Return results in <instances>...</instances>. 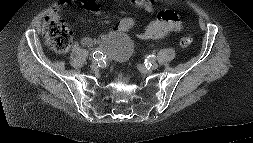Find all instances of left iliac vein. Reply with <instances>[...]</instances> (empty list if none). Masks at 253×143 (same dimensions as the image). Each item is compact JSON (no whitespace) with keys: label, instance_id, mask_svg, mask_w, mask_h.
<instances>
[{"label":"left iliac vein","instance_id":"4c4485c4","mask_svg":"<svg viewBox=\"0 0 253 143\" xmlns=\"http://www.w3.org/2000/svg\"><path fill=\"white\" fill-rule=\"evenodd\" d=\"M157 67H158L157 63H156V62H153L152 65H151V67H150V69H151V70H155ZM143 69H144V68H142V70H143Z\"/></svg>","mask_w":253,"mask_h":143}]
</instances>
